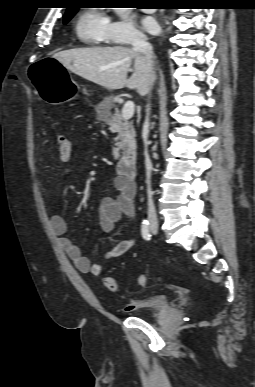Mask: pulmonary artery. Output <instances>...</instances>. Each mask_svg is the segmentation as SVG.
Wrapping results in <instances>:
<instances>
[{
    "label": "pulmonary artery",
    "instance_id": "1",
    "mask_svg": "<svg viewBox=\"0 0 255 387\" xmlns=\"http://www.w3.org/2000/svg\"><path fill=\"white\" fill-rule=\"evenodd\" d=\"M146 11L149 12V13L154 12L153 9H147Z\"/></svg>",
    "mask_w": 255,
    "mask_h": 387
}]
</instances>
